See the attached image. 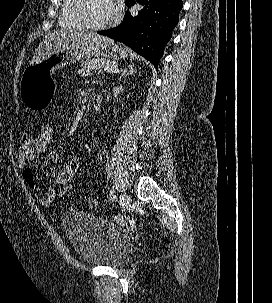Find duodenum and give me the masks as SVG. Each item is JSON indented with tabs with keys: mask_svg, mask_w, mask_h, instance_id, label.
Masks as SVG:
<instances>
[{
	"mask_svg": "<svg viewBox=\"0 0 272 303\" xmlns=\"http://www.w3.org/2000/svg\"><path fill=\"white\" fill-rule=\"evenodd\" d=\"M103 103V96L100 94H97L93 97L91 107L93 110H99Z\"/></svg>",
	"mask_w": 272,
	"mask_h": 303,
	"instance_id": "1",
	"label": "duodenum"
}]
</instances>
